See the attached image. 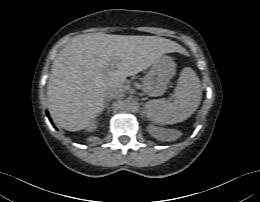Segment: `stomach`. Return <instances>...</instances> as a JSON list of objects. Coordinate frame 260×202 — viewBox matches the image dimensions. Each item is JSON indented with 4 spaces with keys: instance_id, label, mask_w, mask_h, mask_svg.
I'll use <instances>...</instances> for the list:
<instances>
[{
    "instance_id": "obj_1",
    "label": "stomach",
    "mask_w": 260,
    "mask_h": 202,
    "mask_svg": "<svg viewBox=\"0 0 260 202\" xmlns=\"http://www.w3.org/2000/svg\"><path fill=\"white\" fill-rule=\"evenodd\" d=\"M174 73V62L167 56H161L145 75L142 82L143 92L150 97L162 95Z\"/></svg>"
}]
</instances>
